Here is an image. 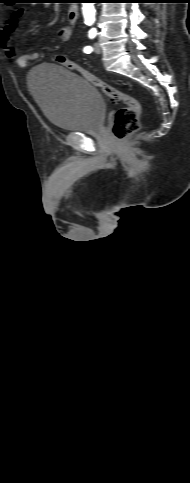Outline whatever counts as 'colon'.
<instances>
[{"label": "colon", "instance_id": "5ec220e1", "mask_svg": "<svg viewBox=\"0 0 190 483\" xmlns=\"http://www.w3.org/2000/svg\"><path fill=\"white\" fill-rule=\"evenodd\" d=\"M54 60L68 70L81 75L98 90L104 93L112 103H124L125 106L118 110L112 127V132L115 138L119 140L124 139L139 129V118L142 112V106L137 98L117 90L109 83L96 77L85 68L68 59L66 55L62 53L55 54Z\"/></svg>", "mask_w": 190, "mask_h": 483}]
</instances>
